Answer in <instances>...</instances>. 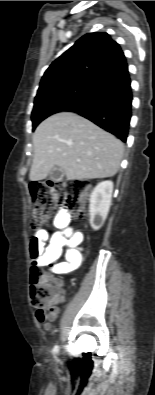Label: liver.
<instances>
[{
    "label": "liver",
    "instance_id": "liver-1",
    "mask_svg": "<svg viewBox=\"0 0 155 395\" xmlns=\"http://www.w3.org/2000/svg\"><path fill=\"white\" fill-rule=\"evenodd\" d=\"M33 146L31 181L45 179L55 166L70 180L112 177L124 152L119 139L71 112L42 121L33 134Z\"/></svg>",
    "mask_w": 155,
    "mask_h": 395
}]
</instances>
